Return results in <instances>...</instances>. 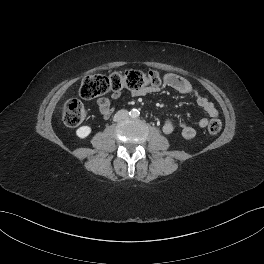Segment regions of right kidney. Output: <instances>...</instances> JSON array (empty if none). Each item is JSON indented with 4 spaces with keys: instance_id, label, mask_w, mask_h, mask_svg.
I'll return each mask as SVG.
<instances>
[{
    "instance_id": "1",
    "label": "right kidney",
    "mask_w": 264,
    "mask_h": 264,
    "mask_svg": "<svg viewBox=\"0 0 264 264\" xmlns=\"http://www.w3.org/2000/svg\"><path fill=\"white\" fill-rule=\"evenodd\" d=\"M91 127L89 126H82L80 128H78L76 130V135L81 138V139H84L86 138L90 133H91Z\"/></svg>"
}]
</instances>
